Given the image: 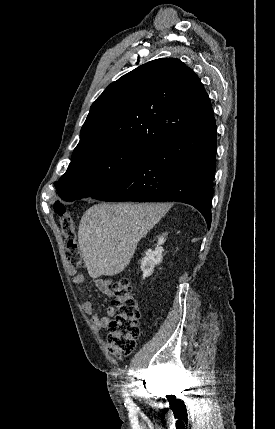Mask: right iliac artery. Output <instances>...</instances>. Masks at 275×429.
Returning a JSON list of instances; mask_svg holds the SVG:
<instances>
[{
    "label": "right iliac artery",
    "instance_id": "82829eb1",
    "mask_svg": "<svg viewBox=\"0 0 275 429\" xmlns=\"http://www.w3.org/2000/svg\"><path fill=\"white\" fill-rule=\"evenodd\" d=\"M126 396H128V395L126 394ZM126 402H127V403H131V400L128 398ZM130 405H131V404H130Z\"/></svg>",
    "mask_w": 275,
    "mask_h": 429
}]
</instances>
